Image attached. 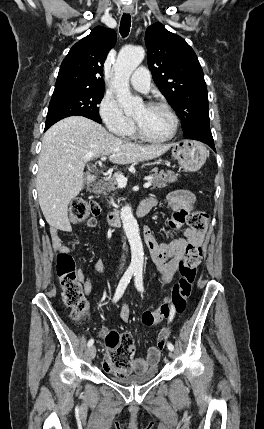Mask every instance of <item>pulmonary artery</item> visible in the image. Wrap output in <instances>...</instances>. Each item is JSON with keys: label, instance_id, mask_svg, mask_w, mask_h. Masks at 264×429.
<instances>
[{"label": "pulmonary artery", "instance_id": "e3ab8cb5", "mask_svg": "<svg viewBox=\"0 0 264 429\" xmlns=\"http://www.w3.org/2000/svg\"><path fill=\"white\" fill-rule=\"evenodd\" d=\"M131 85L138 91L146 93L151 88L150 74L147 68L139 67L130 78Z\"/></svg>", "mask_w": 264, "mask_h": 429}]
</instances>
